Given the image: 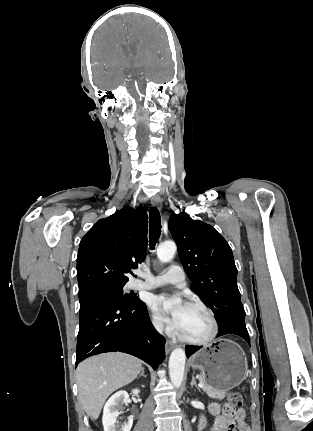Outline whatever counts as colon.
Here are the masks:
<instances>
[{"mask_svg": "<svg viewBox=\"0 0 313 431\" xmlns=\"http://www.w3.org/2000/svg\"><path fill=\"white\" fill-rule=\"evenodd\" d=\"M243 398L239 392H230L227 396V403L223 408V412L225 415H231L236 408L242 406Z\"/></svg>", "mask_w": 313, "mask_h": 431, "instance_id": "5ec220e1", "label": "colon"}]
</instances>
